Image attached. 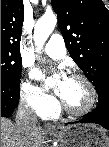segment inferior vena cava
<instances>
[{
	"label": "inferior vena cava",
	"instance_id": "602c4592",
	"mask_svg": "<svg viewBox=\"0 0 109 147\" xmlns=\"http://www.w3.org/2000/svg\"><path fill=\"white\" fill-rule=\"evenodd\" d=\"M15 120L18 130L22 134L24 147H31L33 134L37 129V117L34 110L20 105Z\"/></svg>",
	"mask_w": 109,
	"mask_h": 147
}]
</instances>
